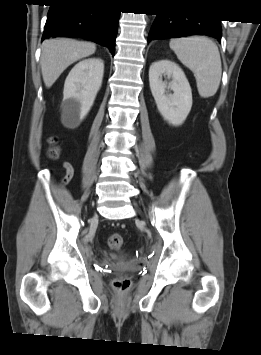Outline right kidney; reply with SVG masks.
<instances>
[{"instance_id": "1", "label": "right kidney", "mask_w": 261, "mask_h": 355, "mask_svg": "<svg viewBox=\"0 0 261 355\" xmlns=\"http://www.w3.org/2000/svg\"><path fill=\"white\" fill-rule=\"evenodd\" d=\"M104 62L89 58L77 63L64 84L62 115L66 124L77 126L90 111L101 88Z\"/></svg>"}]
</instances>
